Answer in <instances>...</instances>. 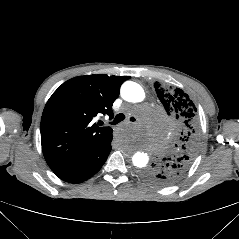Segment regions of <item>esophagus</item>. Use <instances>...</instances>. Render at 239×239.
<instances>
[{
	"label": "esophagus",
	"instance_id": "esophagus-1",
	"mask_svg": "<svg viewBox=\"0 0 239 239\" xmlns=\"http://www.w3.org/2000/svg\"><path fill=\"white\" fill-rule=\"evenodd\" d=\"M112 136H113L114 138H119V137L121 136V131H120L119 129H114V130L112 131Z\"/></svg>",
	"mask_w": 239,
	"mask_h": 239
}]
</instances>
